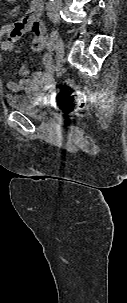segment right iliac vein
<instances>
[{
    "label": "right iliac vein",
    "mask_w": 127,
    "mask_h": 303,
    "mask_svg": "<svg viewBox=\"0 0 127 303\" xmlns=\"http://www.w3.org/2000/svg\"><path fill=\"white\" fill-rule=\"evenodd\" d=\"M56 59L60 62L64 56V43L61 38L58 39L56 46Z\"/></svg>",
    "instance_id": "obj_1"
}]
</instances>
